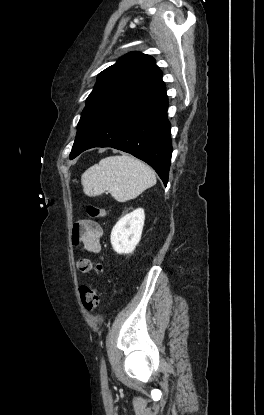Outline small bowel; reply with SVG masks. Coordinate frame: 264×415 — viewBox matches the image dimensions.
Instances as JSON below:
<instances>
[{
	"label": "small bowel",
	"mask_w": 264,
	"mask_h": 415,
	"mask_svg": "<svg viewBox=\"0 0 264 415\" xmlns=\"http://www.w3.org/2000/svg\"><path fill=\"white\" fill-rule=\"evenodd\" d=\"M102 235L100 224L92 220H81L74 225L72 238L78 240L86 252L100 255Z\"/></svg>",
	"instance_id": "c3829d8e"
}]
</instances>
